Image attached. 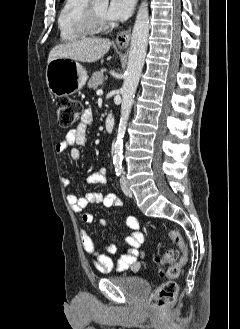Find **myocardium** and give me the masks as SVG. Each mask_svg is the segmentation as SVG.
<instances>
[{
	"label": "myocardium",
	"mask_w": 240,
	"mask_h": 329,
	"mask_svg": "<svg viewBox=\"0 0 240 329\" xmlns=\"http://www.w3.org/2000/svg\"><path fill=\"white\" fill-rule=\"evenodd\" d=\"M83 24L92 32L105 31L112 27V24L107 19L97 13L90 0L85 11Z\"/></svg>",
	"instance_id": "obj_1"
}]
</instances>
